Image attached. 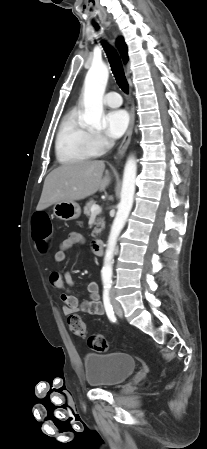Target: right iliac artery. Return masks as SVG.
Segmentation results:
<instances>
[{
	"label": "right iliac artery",
	"instance_id": "82829eb1",
	"mask_svg": "<svg viewBox=\"0 0 207 449\" xmlns=\"http://www.w3.org/2000/svg\"><path fill=\"white\" fill-rule=\"evenodd\" d=\"M109 291H110L109 287L104 288L103 303H104V307H105L106 314H107L108 318L110 319L111 322H115L116 317H115V313H114L113 307L110 302Z\"/></svg>",
	"mask_w": 207,
	"mask_h": 449
}]
</instances>
